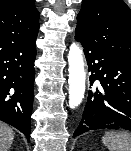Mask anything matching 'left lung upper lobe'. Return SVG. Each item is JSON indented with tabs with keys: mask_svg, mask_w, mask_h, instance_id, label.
Returning <instances> with one entry per match:
<instances>
[{
	"mask_svg": "<svg viewBox=\"0 0 131 151\" xmlns=\"http://www.w3.org/2000/svg\"><path fill=\"white\" fill-rule=\"evenodd\" d=\"M76 35L131 63V10L123 0H82Z\"/></svg>",
	"mask_w": 131,
	"mask_h": 151,
	"instance_id": "1",
	"label": "left lung upper lobe"
}]
</instances>
